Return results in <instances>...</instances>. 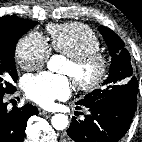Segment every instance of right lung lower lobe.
Segmentation results:
<instances>
[{"instance_id":"98d812e1","label":"right lung lower lobe","mask_w":142,"mask_h":142,"mask_svg":"<svg viewBox=\"0 0 142 142\" xmlns=\"http://www.w3.org/2000/svg\"><path fill=\"white\" fill-rule=\"evenodd\" d=\"M15 89L10 92L13 93ZM9 94V93H7ZM0 95V142H23L27 120L38 114V109L30 104L7 111V103Z\"/></svg>"}]
</instances>
